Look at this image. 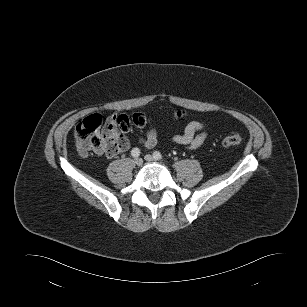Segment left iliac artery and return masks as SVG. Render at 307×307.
Returning a JSON list of instances; mask_svg holds the SVG:
<instances>
[{
    "mask_svg": "<svg viewBox=\"0 0 307 307\" xmlns=\"http://www.w3.org/2000/svg\"><path fill=\"white\" fill-rule=\"evenodd\" d=\"M153 156H154V158L157 159V160L162 159V155H161V153H160L159 151H155V152L153 153Z\"/></svg>",
    "mask_w": 307,
    "mask_h": 307,
    "instance_id": "left-iliac-artery-1",
    "label": "left iliac artery"
}]
</instances>
